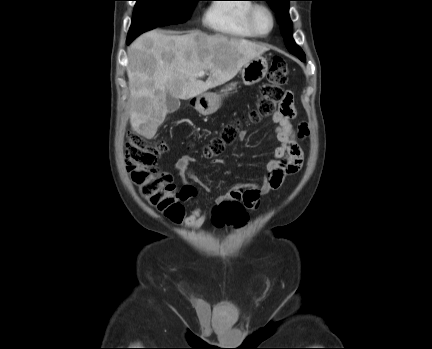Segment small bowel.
<instances>
[{
  "mask_svg": "<svg viewBox=\"0 0 432 349\" xmlns=\"http://www.w3.org/2000/svg\"><path fill=\"white\" fill-rule=\"evenodd\" d=\"M294 116L295 110L292 105L289 112L277 111L272 115L271 119L279 145L266 163L267 174L262 183L237 184L227 194L216 198L218 205L225 201H237L243 203L246 208L253 209L258 206L262 196L279 189L287 176L294 175L301 169L304 155L298 140L305 138L309 130L305 124L295 129L292 124ZM245 135V132H241L239 139L243 140ZM195 161L191 155H182L175 163V171L183 183L180 197L184 202L191 201L197 195V188L194 184L206 188L191 168ZM212 162L222 163L219 159ZM206 218L207 211L198 207L193 209L183 222L187 228L196 230L204 224Z\"/></svg>",
  "mask_w": 432,
  "mask_h": 349,
  "instance_id": "c3829d8e",
  "label": "small bowel"
}]
</instances>
